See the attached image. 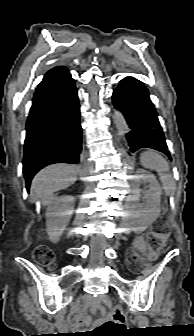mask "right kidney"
Instances as JSON below:
<instances>
[{
  "instance_id": "obj_1",
  "label": "right kidney",
  "mask_w": 194,
  "mask_h": 336,
  "mask_svg": "<svg viewBox=\"0 0 194 336\" xmlns=\"http://www.w3.org/2000/svg\"><path fill=\"white\" fill-rule=\"evenodd\" d=\"M75 199L73 196L53 198L46 211L47 234L52 242H57L70 221Z\"/></svg>"
}]
</instances>
